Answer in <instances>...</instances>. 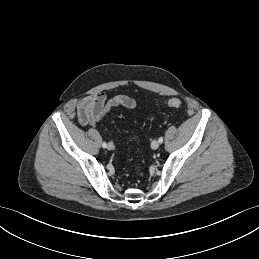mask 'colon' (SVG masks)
I'll return each mask as SVG.
<instances>
[{
    "label": "colon",
    "instance_id": "1",
    "mask_svg": "<svg viewBox=\"0 0 259 259\" xmlns=\"http://www.w3.org/2000/svg\"><path fill=\"white\" fill-rule=\"evenodd\" d=\"M166 105L168 107H171V108H181L182 107V102L178 98H169L166 101ZM139 172H140V168L137 167V168L134 169V173L135 174H138Z\"/></svg>",
    "mask_w": 259,
    "mask_h": 259
}]
</instances>
